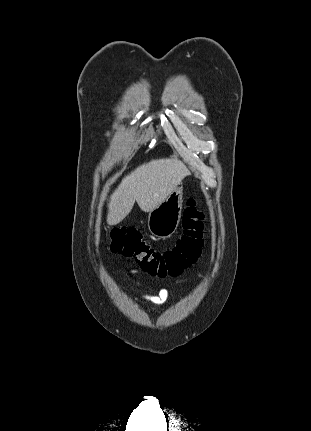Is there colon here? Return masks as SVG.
I'll return each instance as SVG.
<instances>
[{
	"label": "colon",
	"mask_w": 311,
	"mask_h": 431,
	"mask_svg": "<svg viewBox=\"0 0 311 431\" xmlns=\"http://www.w3.org/2000/svg\"><path fill=\"white\" fill-rule=\"evenodd\" d=\"M203 213L196 201L189 198L183 212L182 234L174 247L154 249L133 228H116L110 232V251L132 258L140 268L153 276L175 277L194 264L203 245Z\"/></svg>",
	"instance_id": "obj_1"
}]
</instances>
